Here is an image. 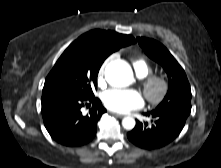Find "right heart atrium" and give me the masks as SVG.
Segmentation results:
<instances>
[{
  "instance_id": "d8ad5b80",
  "label": "right heart atrium",
  "mask_w": 221,
  "mask_h": 168,
  "mask_svg": "<svg viewBox=\"0 0 221 168\" xmlns=\"http://www.w3.org/2000/svg\"><path fill=\"white\" fill-rule=\"evenodd\" d=\"M106 63L100 68L98 72V82L102 84L104 82V70Z\"/></svg>"
}]
</instances>
